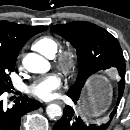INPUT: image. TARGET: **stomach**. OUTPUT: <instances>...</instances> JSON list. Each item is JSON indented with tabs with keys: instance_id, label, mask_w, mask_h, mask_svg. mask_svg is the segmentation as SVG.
Returning <instances> with one entry per match:
<instances>
[{
	"instance_id": "0dacf381",
	"label": "stomach",
	"mask_w": 130,
	"mask_h": 130,
	"mask_svg": "<svg viewBox=\"0 0 130 130\" xmlns=\"http://www.w3.org/2000/svg\"><path fill=\"white\" fill-rule=\"evenodd\" d=\"M103 80L99 76L91 81L79 109L82 116L95 117L107 109L111 99V87L105 85Z\"/></svg>"
}]
</instances>
